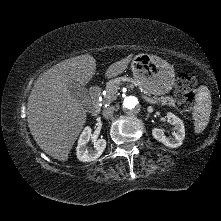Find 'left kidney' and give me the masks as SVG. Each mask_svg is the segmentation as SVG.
<instances>
[{
	"instance_id": "obj_1",
	"label": "left kidney",
	"mask_w": 221,
	"mask_h": 221,
	"mask_svg": "<svg viewBox=\"0 0 221 221\" xmlns=\"http://www.w3.org/2000/svg\"><path fill=\"white\" fill-rule=\"evenodd\" d=\"M166 117L167 121L174 126V138L166 137L163 130L159 128L152 129V135L157 141L161 142L165 146L170 148H177L182 145V142L185 138L184 123L173 113H167Z\"/></svg>"
}]
</instances>
